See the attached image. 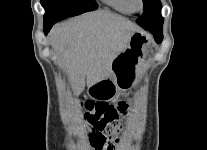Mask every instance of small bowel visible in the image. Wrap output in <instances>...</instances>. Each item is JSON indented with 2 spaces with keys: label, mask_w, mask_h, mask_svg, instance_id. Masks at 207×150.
<instances>
[{
  "label": "small bowel",
  "mask_w": 207,
  "mask_h": 150,
  "mask_svg": "<svg viewBox=\"0 0 207 150\" xmlns=\"http://www.w3.org/2000/svg\"><path fill=\"white\" fill-rule=\"evenodd\" d=\"M91 139V142H93V138H90Z\"/></svg>",
  "instance_id": "obj_1"
}]
</instances>
